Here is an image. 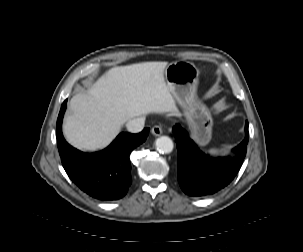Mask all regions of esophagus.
I'll return each instance as SVG.
<instances>
[{"instance_id":"34e87169","label":"esophagus","mask_w":303,"mask_h":252,"mask_svg":"<svg viewBox=\"0 0 303 252\" xmlns=\"http://www.w3.org/2000/svg\"><path fill=\"white\" fill-rule=\"evenodd\" d=\"M151 133L154 135V136H160L162 134V128L160 126H154L152 127L151 129Z\"/></svg>"}]
</instances>
